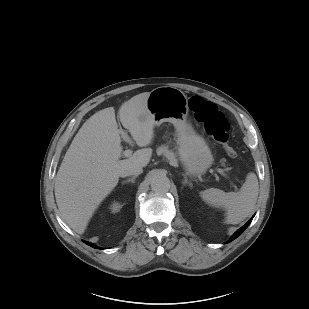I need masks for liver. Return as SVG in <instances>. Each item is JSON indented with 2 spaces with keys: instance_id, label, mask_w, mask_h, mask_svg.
I'll return each mask as SVG.
<instances>
[{
  "instance_id": "6515ba94",
  "label": "liver",
  "mask_w": 309,
  "mask_h": 309,
  "mask_svg": "<svg viewBox=\"0 0 309 309\" xmlns=\"http://www.w3.org/2000/svg\"><path fill=\"white\" fill-rule=\"evenodd\" d=\"M149 92L122 104L119 118L139 147H147L154 137V120L147 109ZM122 130L118 129L113 107L91 116L80 128L67 150L55 179V198L62 218L78 234H83L101 202L116 187L123 170L145 167L152 149L137 150L120 160Z\"/></svg>"
}]
</instances>
